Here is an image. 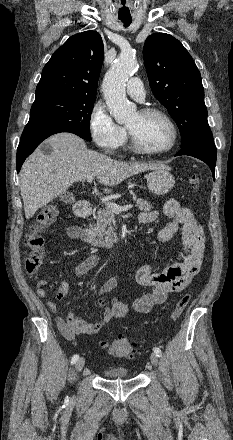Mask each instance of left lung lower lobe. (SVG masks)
Masks as SVG:
<instances>
[{
  "label": "left lung lower lobe",
  "mask_w": 233,
  "mask_h": 440,
  "mask_svg": "<svg viewBox=\"0 0 233 440\" xmlns=\"http://www.w3.org/2000/svg\"><path fill=\"white\" fill-rule=\"evenodd\" d=\"M188 155L204 161L211 169L213 178H215V164H216V147L213 141V136L198 140L192 144L181 147V150L176 156Z\"/></svg>",
  "instance_id": "obj_1"
}]
</instances>
